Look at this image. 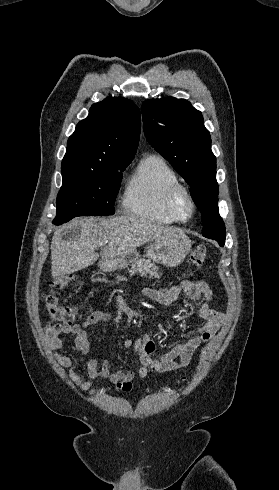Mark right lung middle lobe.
Wrapping results in <instances>:
<instances>
[{
	"label": "right lung middle lobe",
	"mask_w": 279,
	"mask_h": 490,
	"mask_svg": "<svg viewBox=\"0 0 279 490\" xmlns=\"http://www.w3.org/2000/svg\"><path fill=\"white\" fill-rule=\"evenodd\" d=\"M128 165L102 170H62L63 184L57 196L55 225L77 216H106L115 212L122 171Z\"/></svg>",
	"instance_id": "dd1d6c3e"
}]
</instances>
